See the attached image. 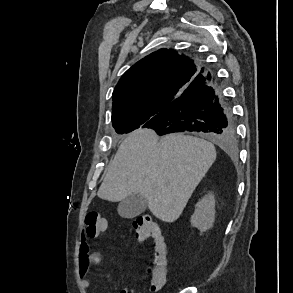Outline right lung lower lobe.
Masks as SVG:
<instances>
[{"mask_svg": "<svg viewBox=\"0 0 293 293\" xmlns=\"http://www.w3.org/2000/svg\"><path fill=\"white\" fill-rule=\"evenodd\" d=\"M142 127L159 135L174 132H202L230 145L235 140L233 115L216 90L210 73L198 74L170 107L148 120Z\"/></svg>", "mask_w": 293, "mask_h": 293, "instance_id": "obj_1", "label": "right lung lower lobe"}]
</instances>
